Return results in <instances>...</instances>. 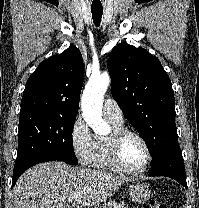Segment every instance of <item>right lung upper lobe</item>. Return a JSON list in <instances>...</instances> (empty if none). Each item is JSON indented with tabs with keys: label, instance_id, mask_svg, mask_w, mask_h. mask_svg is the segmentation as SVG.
<instances>
[{
	"label": "right lung upper lobe",
	"instance_id": "1",
	"mask_svg": "<svg viewBox=\"0 0 199 208\" xmlns=\"http://www.w3.org/2000/svg\"><path fill=\"white\" fill-rule=\"evenodd\" d=\"M82 85V55L76 47H69L62 54L41 62L29 77L20 113L77 115Z\"/></svg>",
	"mask_w": 199,
	"mask_h": 208
}]
</instances>
